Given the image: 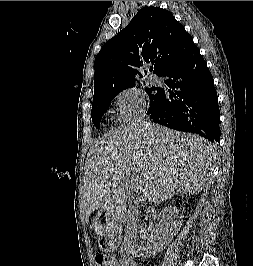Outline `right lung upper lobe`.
I'll list each match as a JSON object with an SVG mask.
<instances>
[{
    "label": "right lung upper lobe",
    "instance_id": "obj_1",
    "mask_svg": "<svg viewBox=\"0 0 253 266\" xmlns=\"http://www.w3.org/2000/svg\"><path fill=\"white\" fill-rule=\"evenodd\" d=\"M196 48L191 35L172 13L159 7L139 10L96 56L93 102L133 87L135 75L142 76L136 69L141 65L152 63L153 72L163 76Z\"/></svg>",
    "mask_w": 253,
    "mask_h": 266
}]
</instances>
